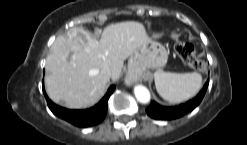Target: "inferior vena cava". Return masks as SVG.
I'll return each mask as SVG.
<instances>
[{"label": "inferior vena cava", "mask_w": 247, "mask_h": 145, "mask_svg": "<svg viewBox=\"0 0 247 145\" xmlns=\"http://www.w3.org/2000/svg\"><path fill=\"white\" fill-rule=\"evenodd\" d=\"M101 73H102L105 77H107V78H110V77H111V72H110V69H109L108 67L103 68L102 71H101Z\"/></svg>", "instance_id": "1"}]
</instances>
